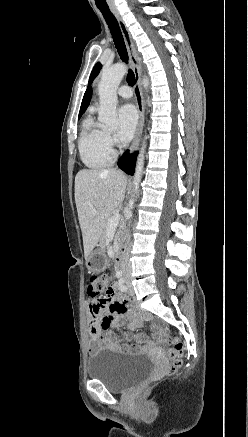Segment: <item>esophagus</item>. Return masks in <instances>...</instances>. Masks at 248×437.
I'll list each match as a JSON object with an SVG mask.
<instances>
[{
	"label": "esophagus",
	"instance_id": "34e87169",
	"mask_svg": "<svg viewBox=\"0 0 248 437\" xmlns=\"http://www.w3.org/2000/svg\"><path fill=\"white\" fill-rule=\"evenodd\" d=\"M113 13L118 21L119 27L121 29L126 47H127V51L129 54V58H130V62L134 71V75H135V86H134V94H135V98H136V104H137V109H138V113H139V122H138V127L136 130V134L134 137V140L131 144L130 147V153H133L141 140V136H142V131H143V126H144V99H143V92H142V86H141V62L139 60V57L137 55L135 46H134V42L132 40L131 34L125 24V22L123 21L122 17L120 16V14L113 10Z\"/></svg>",
	"mask_w": 248,
	"mask_h": 437
}]
</instances>
